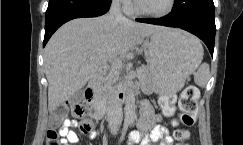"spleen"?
I'll return each mask as SVG.
<instances>
[{
	"label": "spleen",
	"instance_id": "1",
	"mask_svg": "<svg viewBox=\"0 0 243 145\" xmlns=\"http://www.w3.org/2000/svg\"><path fill=\"white\" fill-rule=\"evenodd\" d=\"M203 58V49H200V54H199V61H198V66L201 63ZM197 66V67H198ZM210 76V69L209 65L207 63H203L200 65L194 75V82L201 88H204L206 84L208 83Z\"/></svg>",
	"mask_w": 243,
	"mask_h": 145
}]
</instances>
